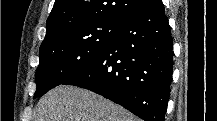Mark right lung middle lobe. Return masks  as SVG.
Masks as SVG:
<instances>
[{
	"mask_svg": "<svg viewBox=\"0 0 217 121\" xmlns=\"http://www.w3.org/2000/svg\"><path fill=\"white\" fill-rule=\"evenodd\" d=\"M121 24L115 21H100L80 25L41 46L34 97L44 95L96 60Z\"/></svg>",
	"mask_w": 217,
	"mask_h": 121,
	"instance_id": "dd1d6c3e",
	"label": "right lung middle lobe"
}]
</instances>
